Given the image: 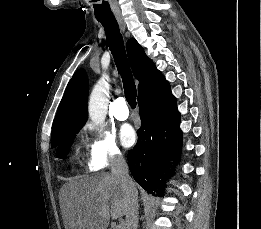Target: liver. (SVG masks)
Here are the masks:
<instances>
[{
    "instance_id": "6515ba94",
    "label": "liver",
    "mask_w": 261,
    "mask_h": 229,
    "mask_svg": "<svg viewBox=\"0 0 261 229\" xmlns=\"http://www.w3.org/2000/svg\"><path fill=\"white\" fill-rule=\"evenodd\" d=\"M65 189L66 229H107L111 217L127 215L129 197L110 173L75 177Z\"/></svg>"
}]
</instances>
